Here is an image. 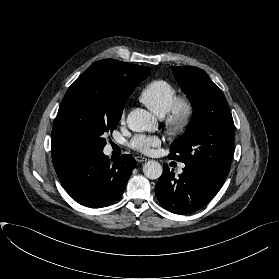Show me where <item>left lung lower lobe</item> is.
<instances>
[{
    "mask_svg": "<svg viewBox=\"0 0 279 279\" xmlns=\"http://www.w3.org/2000/svg\"><path fill=\"white\" fill-rule=\"evenodd\" d=\"M221 180L204 169L186 167L179 178L165 164L155 187V194L164 209L174 214H189L209 203L220 190Z\"/></svg>",
    "mask_w": 279,
    "mask_h": 279,
    "instance_id": "1",
    "label": "left lung lower lobe"
}]
</instances>
